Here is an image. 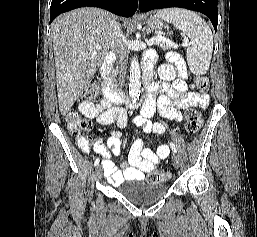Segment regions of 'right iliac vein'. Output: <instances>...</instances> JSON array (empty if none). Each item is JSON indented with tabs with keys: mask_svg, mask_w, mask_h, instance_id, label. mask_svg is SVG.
Here are the masks:
<instances>
[{
	"mask_svg": "<svg viewBox=\"0 0 257 237\" xmlns=\"http://www.w3.org/2000/svg\"><path fill=\"white\" fill-rule=\"evenodd\" d=\"M96 175H97L98 178H101V176H102V167H101V165H98L96 167Z\"/></svg>",
	"mask_w": 257,
	"mask_h": 237,
	"instance_id": "right-iliac-vein-1",
	"label": "right iliac vein"
}]
</instances>
